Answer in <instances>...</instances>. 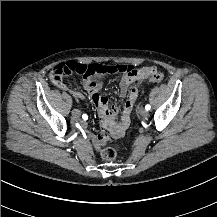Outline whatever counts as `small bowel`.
<instances>
[{
	"instance_id": "1",
	"label": "small bowel",
	"mask_w": 217,
	"mask_h": 217,
	"mask_svg": "<svg viewBox=\"0 0 217 217\" xmlns=\"http://www.w3.org/2000/svg\"><path fill=\"white\" fill-rule=\"evenodd\" d=\"M146 67V66H144ZM150 76H131L129 73H125L120 82V96L126 97L127 101L124 104L120 121L117 122L118 112L116 111V106L109 107L106 97L101 95L100 89L102 84V76H89L82 79L83 89L90 95L92 103L99 109L98 116L100 117V122L102 126L107 129V135L109 137H119L123 134V131L130 124V117L133 111L134 104L138 98V89L133 86L130 90V85L135 81H143L149 79ZM53 83L60 89L70 92L74 97L81 98L82 95L76 90H70L62 82L59 77L53 80ZM84 128L86 124L83 123ZM87 135L93 138V147L96 152L99 151V141L98 136L95 137L90 131H87Z\"/></svg>"
}]
</instances>
